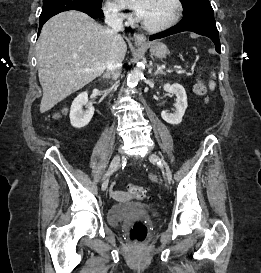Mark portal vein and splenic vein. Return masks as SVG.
Masks as SVG:
<instances>
[{"mask_svg": "<svg viewBox=\"0 0 261 273\" xmlns=\"http://www.w3.org/2000/svg\"><path fill=\"white\" fill-rule=\"evenodd\" d=\"M85 71L88 72V71H90V69L89 68H85ZM184 72H185V70H183V69L177 71V73H184Z\"/></svg>", "mask_w": 261, "mask_h": 273, "instance_id": "1", "label": "portal vein and splenic vein"}]
</instances>
